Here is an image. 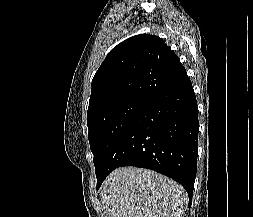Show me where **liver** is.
I'll return each instance as SVG.
<instances>
[{"label":"liver","mask_w":253,"mask_h":217,"mask_svg":"<svg viewBox=\"0 0 253 217\" xmlns=\"http://www.w3.org/2000/svg\"><path fill=\"white\" fill-rule=\"evenodd\" d=\"M102 217H182L184 188L155 171L136 167L114 170L100 188Z\"/></svg>","instance_id":"6515ba94"}]
</instances>
